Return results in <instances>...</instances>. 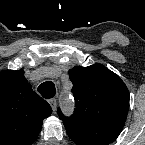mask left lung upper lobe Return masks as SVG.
Segmentation results:
<instances>
[{"instance_id": "obj_1", "label": "left lung upper lobe", "mask_w": 145, "mask_h": 145, "mask_svg": "<svg viewBox=\"0 0 145 145\" xmlns=\"http://www.w3.org/2000/svg\"><path fill=\"white\" fill-rule=\"evenodd\" d=\"M69 76L76 105L70 117H64L58 109L64 125L72 123L123 128L130 95L119 76L99 64L73 67L69 70Z\"/></svg>"}]
</instances>
